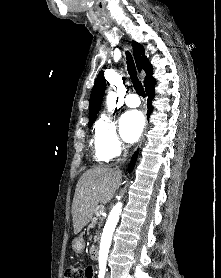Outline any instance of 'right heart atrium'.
<instances>
[{"label": "right heart atrium", "mask_w": 221, "mask_h": 278, "mask_svg": "<svg viewBox=\"0 0 221 278\" xmlns=\"http://www.w3.org/2000/svg\"><path fill=\"white\" fill-rule=\"evenodd\" d=\"M95 143L109 159L118 157L124 151V144L119 138L115 121L102 116L95 127Z\"/></svg>", "instance_id": "obj_1"}]
</instances>
